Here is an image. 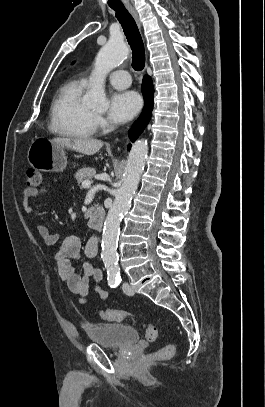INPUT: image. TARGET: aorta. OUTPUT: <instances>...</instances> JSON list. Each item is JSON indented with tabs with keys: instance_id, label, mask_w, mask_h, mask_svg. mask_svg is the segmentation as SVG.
Masks as SVG:
<instances>
[{
	"instance_id": "obj_1",
	"label": "aorta",
	"mask_w": 265,
	"mask_h": 407,
	"mask_svg": "<svg viewBox=\"0 0 265 407\" xmlns=\"http://www.w3.org/2000/svg\"><path fill=\"white\" fill-rule=\"evenodd\" d=\"M129 50L122 38H111L98 52L95 68L91 77V88L83 97V103L90 107H105L106 74L121 64L128 56ZM148 154V144L144 139L137 140L131 147L123 183L118 189L113 205L108 211L102 234L101 258L108 276L119 273L117 242L121 217L129 210L131 199L137 190Z\"/></svg>"
}]
</instances>
